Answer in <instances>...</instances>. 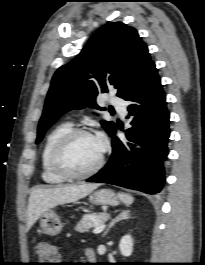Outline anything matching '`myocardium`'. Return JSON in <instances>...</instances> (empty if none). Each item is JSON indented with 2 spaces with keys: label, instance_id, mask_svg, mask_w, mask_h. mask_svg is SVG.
<instances>
[{
  "label": "myocardium",
  "instance_id": "1",
  "mask_svg": "<svg viewBox=\"0 0 205 265\" xmlns=\"http://www.w3.org/2000/svg\"><path fill=\"white\" fill-rule=\"evenodd\" d=\"M79 136H89L94 137L95 136L88 130L82 129V128H73L66 132L54 145L50 158L49 163L50 167L53 170L54 173H56L58 176L62 177L65 180H83L87 179L93 175H95L97 172L100 171L104 164V153L103 151L100 154V157L97 161V163L89 170L82 172V173H74L68 170L62 163V157L63 154L70 144L72 140Z\"/></svg>",
  "mask_w": 205,
  "mask_h": 265
}]
</instances>
